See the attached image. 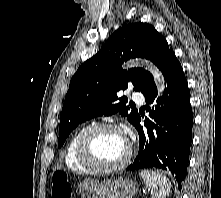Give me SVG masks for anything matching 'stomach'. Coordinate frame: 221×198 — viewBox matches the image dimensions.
Instances as JSON below:
<instances>
[{"instance_id":"stomach-1","label":"stomach","mask_w":221,"mask_h":198,"mask_svg":"<svg viewBox=\"0 0 221 198\" xmlns=\"http://www.w3.org/2000/svg\"><path fill=\"white\" fill-rule=\"evenodd\" d=\"M137 191L136 182L123 177L101 182L86 179L79 184L82 198H132Z\"/></svg>"}]
</instances>
